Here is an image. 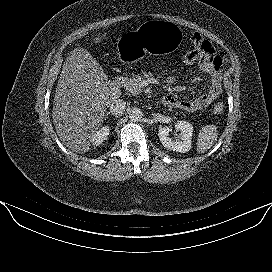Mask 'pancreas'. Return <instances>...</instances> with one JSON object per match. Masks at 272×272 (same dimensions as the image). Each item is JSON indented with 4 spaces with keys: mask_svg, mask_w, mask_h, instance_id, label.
I'll return each instance as SVG.
<instances>
[{
    "mask_svg": "<svg viewBox=\"0 0 272 272\" xmlns=\"http://www.w3.org/2000/svg\"><path fill=\"white\" fill-rule=\"evenodd\" d=\"M141 80L142 77L139 75H135L132 78L126 79L124 82V87L126 91L132 93L133 95L140 94L143 90Z\"/></svg>",
    "mask_w": 272,
    "mask_h": 272,
    "instance_id": "pancreas-1",
    "label": "pancreas"
}]
</instances>
